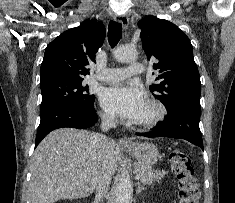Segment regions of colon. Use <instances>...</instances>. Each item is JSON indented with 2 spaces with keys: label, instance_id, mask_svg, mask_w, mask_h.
Here are the masks:
<instances>
[{
  "label": "colon",
  "instance_id": "1",
  "mask_svg": "<svg viewBox=\"0 0 235 203\" xmlns=\"http://www.w3.org/2000/svg\"><path fill=\"white\" fill-rule=\"evenodd\" d=\"M172 172L179 184L180 203H199V183L194 176V170L189 156L179 150H174L169 155Z\"/></svg>",
  "mask_w": 235,
  "mask_h": 203
}]
</instances>
